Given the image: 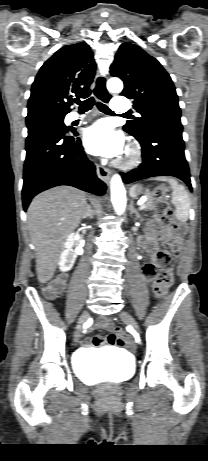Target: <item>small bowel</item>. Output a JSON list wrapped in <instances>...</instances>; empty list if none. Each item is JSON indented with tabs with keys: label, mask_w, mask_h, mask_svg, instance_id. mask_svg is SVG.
I'll return each instance as SVG.
<instances>
[{
	"label": "small bowel",
	"mask_w": 208,
	"mask_h": 461,
	"mask_svg": "<svg viewBox=\"0 0 208 461\" xmlns=\"http://www.w3.org/2000/svg\"><path fill=\"white\" fill-rule=\"evenodd\" d=\"M173 236L172 226L171 225H162L161 229H158L150 222L146 227L145 234L140 238L139 242L141 246L151 255L155 256L160 252V243L168 242ZM156 268L154 265L149 263L145 264L143 267V274L147 279L152 278L155 275ZM66 279L65 275H60L58 281L64 282ZM98 329H107L112 328V324L108 319L101 320L97 325ZM106 341L108 351H118L121 344V336H117L116 332H108L106 339L101 337H96L94 339H84L83 345L87 346L90 344L99 346Z\"/></svg>",
	"instance_id": "1"
}]
</instances>
